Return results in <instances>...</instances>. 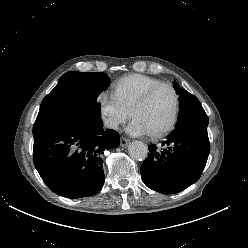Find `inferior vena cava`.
<instances>
[{
    "mask_svg": "<svg viewBox=\"0 0 248 248\" xmlns=\"http://www.w3.org/2000/svg\"><path fill=\"white\" fill-rule=\"evenodd\" d=\"M104 126L110 129H117L118 128V124L117 122L111 120V119H105L104 120Z\"/></svg>",
    "mask_w": 248,
    "mask_h": 248,
    "instance_id": "inferior-vena-cava-1",
    "label": "inferior vena cava"
}]
</instances>
